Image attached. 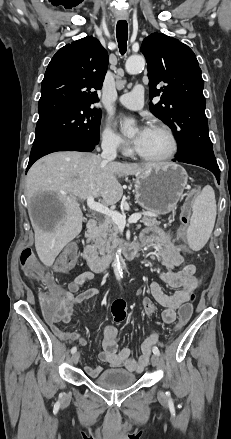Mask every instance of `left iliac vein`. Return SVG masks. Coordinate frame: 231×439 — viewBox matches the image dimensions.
<instances>
[{"label": "left iliac vein", "instance_id": "1", "mask_svg": "<svg viewBox=\"0 0 231 439\" xmlns=\"http://www.w3.org/2000/svg\"><path fill=\"white\" fill-rule=\"evenodd\" d=\"M151 363H152V365H153V367H159L160 366V358H159V356L158 355H156V354H153L152 355V357H151ZM159 396L162 398V397H164V393L162 392V391H159Z\"/></svg>", "mask_w": 231, "mask_h": 439}]
</instances>
